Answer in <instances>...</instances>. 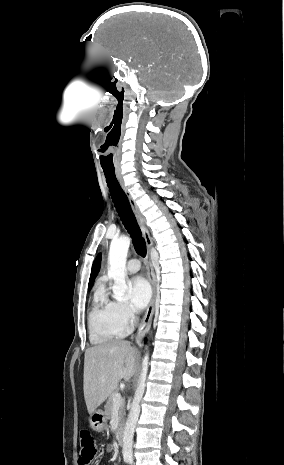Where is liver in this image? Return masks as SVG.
<instances>
[{"mask_svg": "<svg viewBox=\"0 0 284 465\" xmlns=\"http://www.w3.org/2000/svg\"><path fill=\"white\" fill-rule=\"evenodd\" d=\"M137 351L129 341H107L86 349L84 357V399L88 413H94L121 379L130 381L135 373Z\"/></svg>", "mask_w": 284, "mask_h": 465, "instance_id": "1", "label": "liver"}]
</instances>
